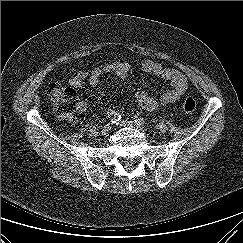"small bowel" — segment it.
Masks as SVG:
<instances>
[{
	"instance_id": "small-bowel-1",
	"label": "small bowel",
	"mask_w": 243,
	"mask_h": 243,
	"mask_svg": "<svg viewBox=\"0 0 243 243\" xmlns=\"http://www.w3.org/2000/svg\"><path fill=\"white\" fill-rule=\"evenodd\" d=\"M137 71L142 76L157 78L167 81V87L161 92L149 95L145 92H137L134 96L136 106L146 112H153L159 106L178 100L187 89L185 76L177 70L163 68L159 63L146 60L139 64ZM131 67L128 63L116 62L106 64L93 69L90 72H80L72 77L68 85L72 88L80 87L84 82L95 86L99 84L103 75L115 74L123 82L125 87L129 85ZM80 111L86 110V101H80ZM110 115L116 114L115 110L109 111Z\"/></svg>"
}]
</instances>
